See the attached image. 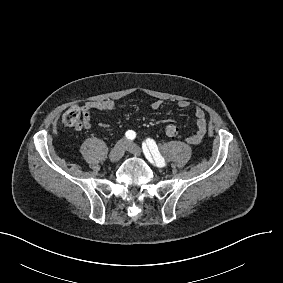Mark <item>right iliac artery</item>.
I'll use <instances>...</instances> for the list:
<instances>
[{
    "label": "right iliac artery",
    "mask_w": 283,
    "mask_h": 283,
    "mask_svg": "<svg viewBox=\"0 0 283 283\" xmlns=\"http://www.w3.org/2000/svg\"><path fill=\"white\" fill-rule=\"evenodd\" d=\"M125 135L127 139H130V140H133L136 137V133L132 130H128Z\"/></svg>",
    "instance_id": "right-iliac-artery-1"
}]
</instances>
